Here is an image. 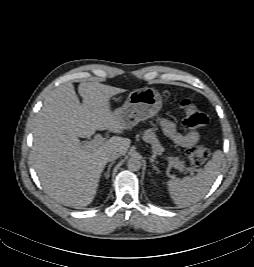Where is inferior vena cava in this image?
I'll use <instances>...</instances> for the list:
<instances>
[{
  "instance_id": "obj_1",
  "label": "inferior vena cava",
  "mask_w": 254,
  "mask_h": 267,
  "mask_svg": "<svg viewBox=\"0 0 254 267\" xmlns=\"http://www.w3.org/2000/svg\"><path fill=\"white\" fill-rule=\"evenodd\" d=\"M120 157V153L119 152H117V151H113V152H111L109 155H108V161H114V160H116L117 158H119Z\"/></svg>"
}]
</instances>
